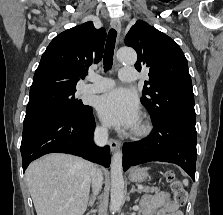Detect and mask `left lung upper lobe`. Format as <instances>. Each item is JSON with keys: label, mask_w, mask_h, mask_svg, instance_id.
Returning a JSON list of instances; mask_svg holds the SVG:
<instances>
[{"label": "left lung upper lobe", "mask_w": 223, "mask_h": 215, "mask_svg": "<svg viewBox=\"0 0 223 215\" xmlns=\"http://www.w3.org/2000/svg\"><path fill=\"white\" fill-rule=\"evenodd\" d=\"M138 55L135 68L149 71L141 103L155 121L165 117L196 120L188 63L181 48L169 36L138 20L125 37Z\"/></svg>", "instance_id": "1"}]
</instances>
